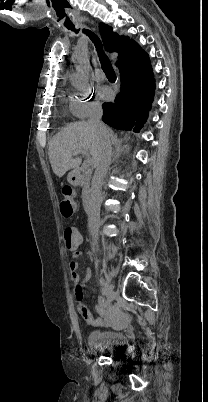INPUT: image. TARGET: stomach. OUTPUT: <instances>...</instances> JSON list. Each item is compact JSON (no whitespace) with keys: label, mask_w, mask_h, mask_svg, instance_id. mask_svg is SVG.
Masks as SVG:
<instances>
[{"label":"stomach","mask_w":208,"mask_h":402,"mask_svg":"<svg viewBox=\"0 0 208 402\" xmlns=\"http://www.w3.org/2000/svg\"><path fill=\"white\" fill-rule=\"evenodd\" d=\"M67 182H69V184H72V186H79L81 178H79L76 172H69L67 176Z\"/></svg>","instance_id":"obj_1"}]
</instances>
